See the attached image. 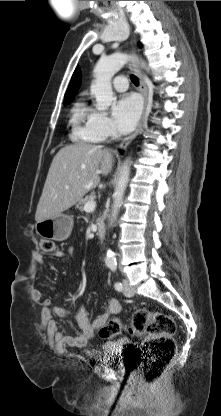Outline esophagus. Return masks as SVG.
<instances>
[{
	"instance_id": "34e87169",
	"label": "esophagus",
	"mask_w": 221,
	"mask_h": 416,
	"mask_svg": "<svg viewBox=\"0 0 221 416\" xmlns=\"http://www.w3.org/2000/svg\"><path fill=\"white\" fill-rule=\"evenodd\" d=\"M132 70L134 71V73L139 78V82H140L139 89H140V92H141V94L143 95V98H144L145 108H144V111H143V114H142V118H141L136 130L130 136H128V137H126L122 140V142L119 145L120 149H125L136 138V136L142 130L143 123H144V121L147 117V114H148V89H147L143 74L140 71L138 63L136 62V60L132 61Z\"/></svg>"
}]
</instances>
